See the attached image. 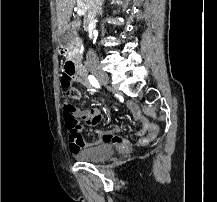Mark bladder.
Listing matches in <instances>:
<instances>
[{"label":"bladder","instance_id":"1","mask_svg":"<svg viewBox=\"0 0 217 202\" xmlns=\"http://www.w3.org/2000/svg\"><path fill=\"white\" fill-rule=\"evenodd\" d=\"M114 152V146L111 143L97 144L94 148L79 152L77 158L82 161L100 160L111 158Z\"/></svg>","mask_w":217,"mask_h":202}]
</instances>
